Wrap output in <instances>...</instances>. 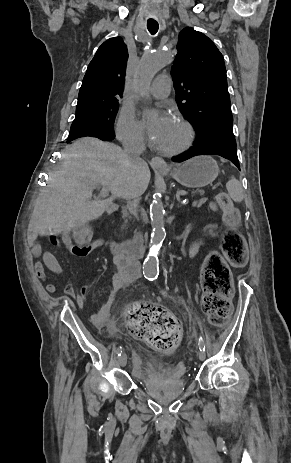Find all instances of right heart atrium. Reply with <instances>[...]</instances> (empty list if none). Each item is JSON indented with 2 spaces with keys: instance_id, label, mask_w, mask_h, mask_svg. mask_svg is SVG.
Instances as JSON below:
<instances>
[{
  "instance_id": "d8ad5b80",
  "label": "right heart atrium",
  "mask_w": 291,
  "mask_h": 463,
  "mask_svg": "<svg viewBox=\"0 0 291 463\" xmlns=\"http://www.w3.org/2000/svg\"><path fill=\"white\" fill-rule=\"evenodd\" d=\"M119 139L127 144H142L145 141L141 123L134 113L123 110L119 116L116 128Z\"/></svg>"
}]
</instances>
